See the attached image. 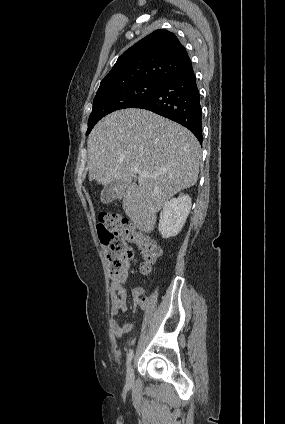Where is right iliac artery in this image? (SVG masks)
<instances>
[{
    "label": "right iliac artery",
    "instance_id": "82829eb1",
    "mask_svg": "<svg viewBox=\"0 0 285 424\" xmlns=\"http://www.w3.org/2000/svg\"><path fill=\"white\" fill-rule=\"evenodd\" d=\"M132 358H133V350H130V352L127 355V361H126L127 366L130 364Z\"/></svg>",
    "mask_w": 285,
    "mask_h": 424
}]
</instances>
